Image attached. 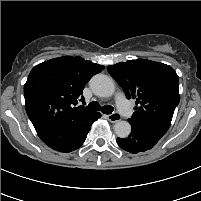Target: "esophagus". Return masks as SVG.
<instances>
[{"label":"esophagus","mask_w":201,"mask_h":201,"mask_svg":"<svg viewBox=\"0 0 201 201\" xmlns=\"http://www.w3.org/2000/svg\"><path fill=\"white\" fill-rule=\"evenodd\" d=\"M106 118L112 123H115V122H118V121L121 120V116L117 112L109 114V115H106Z\"/></svg>","instance_id":"34e87169"}]
</instances>
